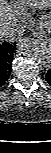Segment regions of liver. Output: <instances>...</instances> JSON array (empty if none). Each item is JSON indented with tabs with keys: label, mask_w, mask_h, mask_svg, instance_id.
<instances>
[{
	"label": "liver",
	"mask_w": 51,
	"mask_h": 153,
	"mask_svg": "<svg viewBox=\"0 0 51 153\" xmlns=\"http://www.w3.org/2000/svg\"><path fill=\"white\" fill-rule=\"evenodd\" d=\"M17 21V13L7 3V0H0V31L3 28L15 24Z\"/></svg>",
	"instance_id": "obj_1"
}]
</instances>
